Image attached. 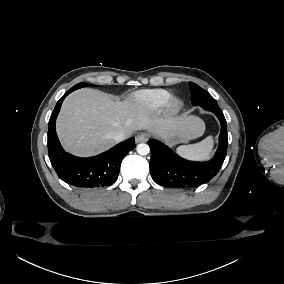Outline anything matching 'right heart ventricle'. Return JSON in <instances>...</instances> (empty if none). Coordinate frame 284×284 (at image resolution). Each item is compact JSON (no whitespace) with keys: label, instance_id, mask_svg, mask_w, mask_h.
Masks as SVG:
<instances>
[{"label":"right heart ventricle","instance_id":"right-heart-ventricle-1","mask_svg":"<svg viewBox=\"0 0 284 284\" xmlns=\"http://www.w3.org/2000/svg\"><path fill=\"white\" fill-rule=\"evenodd\" d=\"M172 92L167 89H147L134 93L130 97L133 108L146 112L155 113L166 107Z\"/></svg>","mask_w":284,"mask_h":284}]
</instances>
